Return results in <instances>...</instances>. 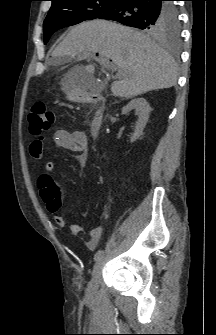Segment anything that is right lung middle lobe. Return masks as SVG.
<instances>
[{"mask_svg":"<svg viewBox=\"0 0 216 335\" xmlns=\"http://www.w3.org/2000/svg\"><path fill=\"white\" fill-rule=\"evenodd\" d=\"M118 0H53L49 13L44 21V43L58 29L78 24L85 20L96 19L109 9ZM176 11V8L173 10ZM170 15L165 18L162 29L157 33L149 32L157 36H179V22L172 24Z\"/></svg>","mask_w":216,"mask_h":335,"instance_id":"1","label":"right lung middle lobe"}]
</instances>
